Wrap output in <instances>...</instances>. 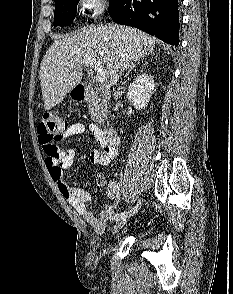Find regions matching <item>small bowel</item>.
Wrapping results in <instances>:
<instances>
[{
    "mask_svg": "<svg viewBox=\"0 0 233 294\" xmlns=\"http://www.w3.org/2000/svg\"><path fill=\"white\" fill-rule=\"evenodd\" d=\"M89 130L95 137L98 146L90 153V161L93 164L107 166L118 154V144L112 145L108 143L104 137L102 130L96 124H90ZM87 126L83 122H76L68 127L64 133V138L84 133ZM76 152L74 149H64L60 152L59 158L46 157L45 165L48 169L52 180L57 184V187L67 202L81 215L96 231L101 232L105 229L107 223L113 217L114 208L118 204L121 197L120 184L116 181L107 182L104 175L99 174L96 177V184L99 187L106 188L107 203L104 209L95 215L88 209L87 203L90 200V193L82 188L71 187L63 179L64 171L69 169L75 161Z\"/></svg>",
    "mask_w": 233,
    "mask_h": 294,
    "instance_id": "1",
    "label": "small bowel"
}]
</instances>
